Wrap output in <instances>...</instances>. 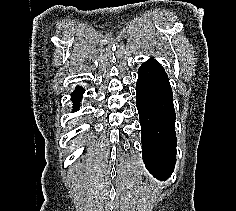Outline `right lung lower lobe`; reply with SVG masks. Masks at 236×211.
Wrapping results in <instances>:
<instances>
[{
	"label": "right lung lower lobe",
	"instance_id": "right-lung-lower-lobe-1",
	"mask_svg": "<svg viewBox=\"0 0 236 211\" xmlns=\"http://www.w3.org/2000/svg\"><path fill=\"white\" fill-rule=\"evenodd\" d=\"M84 90L81 87H77L76 91L72 93V100L74 102L75 109L79 107V101L81 100Z\"/></svg>",
	"mask_w": 236,
	"mask_h": 211
}]
</instances>
